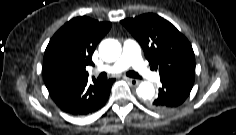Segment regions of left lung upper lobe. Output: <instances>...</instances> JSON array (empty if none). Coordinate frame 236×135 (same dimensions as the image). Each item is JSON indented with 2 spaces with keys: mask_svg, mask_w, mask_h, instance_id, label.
Listing matches in <instances>:
<instances>
[{
  "mask_svg": "<svg viewBox=\"0 0 236 135\" xmlns=\"http://www.w3.org/2000/svg\"><path fill=\"white\" fill-rule=\"evenodd\" d=\"M142 46L151 68L161 77L195 74L191 44L164 18L148 13L121 21Z\"/></svg>",
  "mask_w": 236,
  "mask_h": 135,
  "instance_id": "5c2ea615",
  "label": "left lung upper lobe"
}]
</instances>
